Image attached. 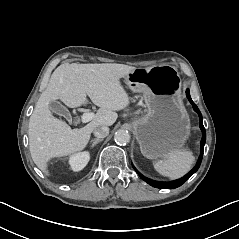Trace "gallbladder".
<instances>
[{
  "label": "gallbladder",
  "mask_w": 239,
  "mask_h": 239,
  "mask_svg": "<svg viewBox=\"0 0 239 239\" xmlns=\"http://www.w3.org/2000/svg\"><path fill=\"white\" fill-rule=\"evenodd\" d=\"M49 109L60 115V116H64L66 120H70L72 117L69 115V112L67 110L66 107H64L60 102L58 101H50L48 104Z\"/></svg>",
  "instance_id": "gallbladder-1"
}]
</instances>
